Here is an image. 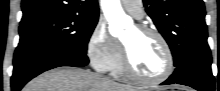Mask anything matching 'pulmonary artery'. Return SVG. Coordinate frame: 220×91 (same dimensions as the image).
<instances>
[{"label": "pulmonary artery", "mask_w": 220, "mask_h": 91, "mask_svg": "<svg viewBox=\"0 0 220 91\" xmlns=\"http://www.w3.org/2000/svg\"><path fill=\"white\" fill-rule=\"evenodd\" d=\"M123 8L134 16L136 19H141L143 17L142 1L140 0H123L121 1Z\"/></svg>", "instance_id": "1"}]
</instances>
